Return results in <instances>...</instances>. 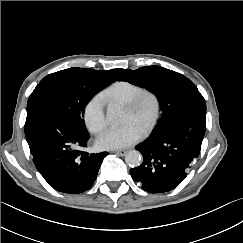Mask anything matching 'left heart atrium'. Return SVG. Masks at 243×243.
<instances>
[{"label": "left heart atrium", "instance_id": "obj_1", "mask_svg": "<svg viewBox=\"0 0 243 243\" xmlns=\"http://www.w3.org/2000/svg\"><path fill=\"white\" fill-rule=\"evenodd\" d=\"M143 137V131L133 123L105 130L97 139L100 149H121L131 146Z\"/></svg>", "mask_w": 243, "mask_h": 243}]
</instances>
